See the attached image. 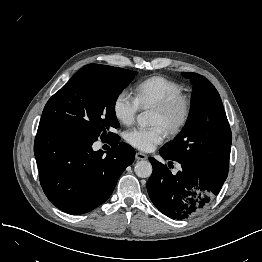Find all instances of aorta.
Masks as SVG:
<instances>
[{"label": "aorta", "instance_id": "762f6f07", "mask_svg": "<svg viewBox=\"0 0 262 262\" xmlns=\"http://www.w3.org/2000/svg\"><path fill=\"white\" fill-rule=\"evenodd\" d=\"M154 120V114L151 111H144L138 114L137 122L140 126L145 127L151 125ZM135 173L140 178L150 177L152 174V165L149 161H139L135 165Z\"/></svg>", "mask_w": 262, "mask_h": 262}]
</instances>
